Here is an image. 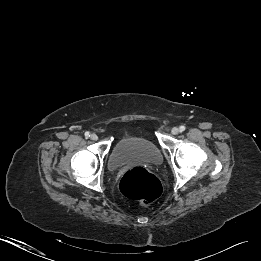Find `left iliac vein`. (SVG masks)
<instances>
[{"instance_id": "left-iliac-vein-1", "label": "left iliac vein", "mask_w": 261, "mask_h": 261, "mask_svg": "<svg viewBox=\"0 0 261 261\" xmlns=\"http://www.w3.org/2000/svg\"><path fill=\"white\" fill-rule=\"evenodd\" d=\"M171 132L173 135H177L180 132V130H179V128L174 127V128H172Z\"/></svg>"}]
</instances>
